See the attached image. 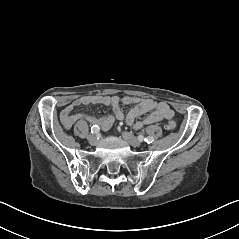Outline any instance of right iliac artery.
<instances>
[{
  "label": "right iliac artery",
  "instance_id": "1",
  "mask_svg": "<svg viewBox=\"0 0 239 239\" xmlns=\"http://www.w3.org/2000/svg\"><path fill=\"white\" fill-rule=\"evenodd\" d=\"M99 132H100V128L97 125H93L91 127V133L92 134L97 135V134H99Z\"/></svg>",
  "mask_w": 239,
  "mask_h": 239
}]
</instances>
